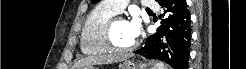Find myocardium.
I'll use <instances>...</instances> for the list:
<instances>
[{
  "instance_id": "f54148a6",
  "label": "myocardium",
  "mask_w": 246,
  "mask_h": 69,
  "mask_svg": "<svg viewBox=\"0 0 246 69\" xmlns=\"http://www.w3.org/2000/svg\"><path fill=\"white\" fill-rule=\"evenodd\" d=\"M119 21H125V18L122 16H113L110 21L108 22V25L106 27L105 31V40L107 45L109 46L110 49L115 50V51H124V50H133L138 46V42H135L131 46H126V47H120L117 46L113 40H112V32L114 29V26L117 22Z\"/></svg>"
}]
</instances>
